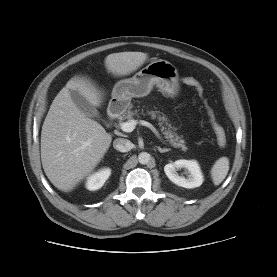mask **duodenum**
I'll list each match as a JSON object with an SVG mask.
<instances>
[{"label":"duodenum","mask_w":277,"mask_h":277,"mask_svg":"<svg viewBox=\"0 0 277 277\" xmlns=\"http://www.w3.org/2000/svg\"><path fill=\"white\" fill-rule=\"evenodd\" d=\"M120 112H121V107L119 104H117V103L111 104L109 107V112H108L109 119L110 120L117 119L120 115Z\"/></svg>","instance_id":"410a0bca"}]
</instances>
